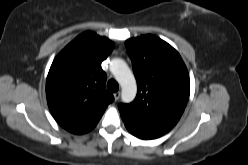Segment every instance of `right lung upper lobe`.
<instances>
[{
    "instance_id": "1",
    "label": "right lung upper lobe",
    "mask_w": 248,
    "mask_h": 165,
    "mask_svg": "<svg viewBox=\"0 0 248 165\" xmlns=\"http://www.w3.org/2000/svg\"><path fill=\"white\" fill-rule=\"evenodd\" d=\"M114 43L87 31L68 44L54 59L46 81L49 109L56 122L74 134L92 130L114 100L105 90L102 61Z\"/></svg>"
}]
</instances>
